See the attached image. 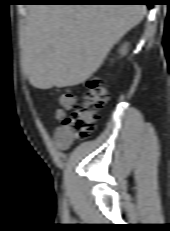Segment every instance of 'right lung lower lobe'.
I'll use <instances>...</instances> for the list:
<instances>
[{
    "instance_id": "obj_1",
    "label": "right lung lower lobe",
    "mask_w": 170,
    "mask_h": 231,
    "mask_svg": "<svg viewBox=\"0 0 170 231\" xmlns=\"http://www.w3.org/2000/svg\"><path fill=\"white\" fill-rule=\"evenodd\" d=\"M31 2L44 3H81V4H99V3H144L152 7L151 0H30Z\"/></svg>"
}]
</instances>
